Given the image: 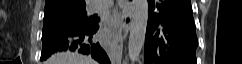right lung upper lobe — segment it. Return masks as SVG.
<instances>
[{"label":"right lung upper lobe","instance_id":"obj_1","mask_svg":"<svg viewBox=\"0 0 242 64\" xmlns=\"http://www.w3.org/2000/svg\"><path fill=\"white\" fill-rule=\"evenodd\" d=\"M85 5V0H46L44 13L62 9H76Z\"/></svg>","mask_w":242,"mask_h":64}]
</instances>
